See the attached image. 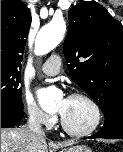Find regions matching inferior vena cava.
Wrapping results in <instances>:
<instances>
[{"label":"inferior vena cava","mask_w":123,"mask_h":152,"mask_svg":"<svg viewBox=\"0 0 123 152\" xmlns=\"http://www.w3.org/2000/svg\"><path fill=\"white\" fill-rule=\"evenodd\" d=\"M26 128L35 135L45 137V133L42 130L41 118L39 115H30L26 124Z\"/></svg>","instance_id":"602c4592"}]
</instances>
